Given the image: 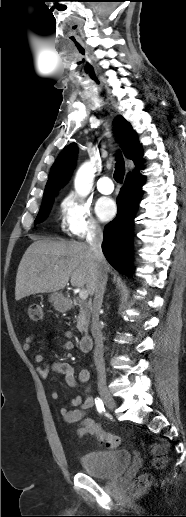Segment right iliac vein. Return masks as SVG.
<instances>
[{
  "instance_id": "obj_1",
  "label": "right iliac vein",
  "mask_w": 186,
  "mask_h": 517,
  "mask_svg": "<svg viewBox=\"0 0 186 517\" xmlns=\"http://www.w3.org/2000/svg\"><path fill=\"white\" fill-rule=\"evenodd\" d=\"M99 393H100V396H101L105 406L110 410L115 409L116 402H115L113 396L111 395V393L109 392V390L105 386L101 385L99 387Z\"/></svg>"
}]
</instances>
